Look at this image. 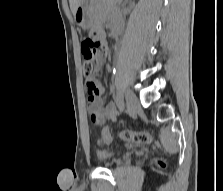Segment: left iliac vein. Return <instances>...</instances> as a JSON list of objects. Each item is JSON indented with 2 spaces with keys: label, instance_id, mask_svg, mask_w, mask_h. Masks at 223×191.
<instances>
[{
  "label": "left iliac vein",
  "instance_id": "1",
  "mask_svg": "<svg viewBox=\"0 0 223 191\" xmlns=\"http://www.w3.org/2000/svg\"><path fill=\"white\" fill-rule=\"evenodd\" d=\"M126 108L130 114H135L140 109V102L132 92H127L125 96Z\"/></svg>",
  "mask_w": 223,
  "mask_h": 191
}]
</instances>
